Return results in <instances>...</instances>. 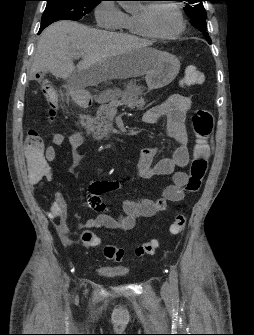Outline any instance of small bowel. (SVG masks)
I'll list each match as a JSON object with an SVG mask.
<instances>
[{
  "mask_svg": "<svg viewBox=\"0 0 254 335\" xmlns=\"http://www.w3.org/2000/svg\"><path fill=\"white\" fill-rule=\"evenodd\" d=\"M191 109V100L180 94H173L158 105L149 109L143 121L146 124H156L160 118L167 120L166 135L169 139L177 143V147L169 157L155 162V157L159 151L158 147L141 148L138 162V176L150 178L152 176H171V183L167 185L158 199L141 198L127 199L122 203V213L118 217H113L107 212V206L103 202L101 195L117 190L123 183L131 182L126 180H101L93 182L89 188L88 203L98 214L96 217L88 219L82 228H105L112 230L130 231L134 228L139 217H152L155 214L165 211L169 202H181L184 199V186L187 181L186 173L176 170L183 168L189 162L188 132L186 129V119ZM65 142L62 133H55L52 144L46 148L44 159L50 163L57 158V148ZM84 142V137L80 133H73L68 138L71 153L76 156L78 148ZM45 178H28L32 185L39 184ZM49 218L55 221L56 230L63 242L67 246L73 245V240L69 237L68 206L64 196L60 192L54 195L51 204Z\"/></svg>",
  "mask_w": 254,
  "mask_h": 335,
  "instance_id": "c3829d8e",
  "label": "small bowel"
}]
</instances>
